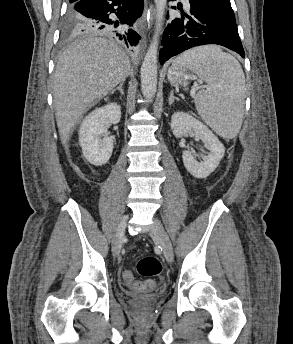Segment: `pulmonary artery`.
<instances>
[{
	"label": "pulmonary artery",
	"mask_w": 293,
	"mask_h": 344,
	"mask_svg": "<svg viewBox=\"0 0 293 344\" xmlns=\"http://www.w3.org/2000/svg\"><path fill=\"white\" fill-rule=\"evenodd\" d=\"M185 4H188L189 0H182Z\"/></svg>",
	"instance_id": "pulmonary-artery-1"
}]
</instances>
